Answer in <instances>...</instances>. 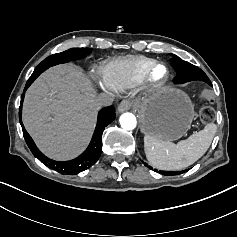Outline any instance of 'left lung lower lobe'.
<instances>
[{
  "mask_svg": "<svg viewBox=\"0 0 237 237\" xmlns=\"http://www.w3.org/2000/svg\"><path fill=\"white\" fill-rule=\"evenodd\" d=\"M187 170H184V171H182L181 173H183V172H186ZM179 173H176L175 175H178Z\"/></svg>",
  "mask_w": 237,
  "mask_h": 237,
  "instance_id": "obj_1",
  "label": "left lung lower lobe"
}]
</instances>
